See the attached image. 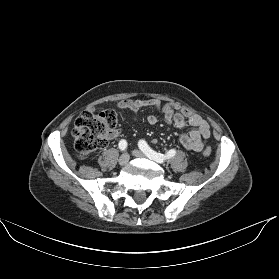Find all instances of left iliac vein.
I'll use <instances>...</instances> for the list:
<instances>
[{"label":"left iliac vein","mask_w":279,"mask_h":279,"mask_svg":"<svg viewBox=\"0 0 279 279\" xmlns=\"http://www.w3.org/2000/svg\"><path fill=\"white\" fill-rule=\"evenodd\" d=\"M132 154H133L135 157H139V158H144V157H145V155H144L141 151H139V150H133V151H132Z\"/></svg>","instance_id":"obj_1"}]
</instances>
